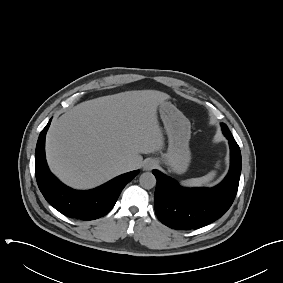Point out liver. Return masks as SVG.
<instances>
[{
  "label": "liver",
  "instance_id": "6515ba94",
  "mask_svg": "<svg viewBox=\"0 0 283 283\" xmlns=\"http://www.w3.org/2000/svg\"><path fill=\"white\" fill-rule=\"evenodd\" d=\"M170 97L156 90L126 91L84 101L54 120L46 136L51 171L65 184L90 189L137 169L141 154L164 145L157 108Z\"/></svg>",
  "mask_w": 283,
  "mask_h": 283
}]
</instances>
